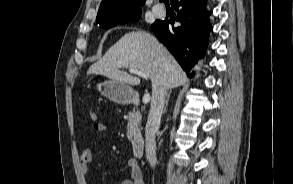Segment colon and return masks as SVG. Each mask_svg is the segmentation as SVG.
Masks as SVG:
<instances>
[{
    "instance_id": "colon-1",
    "label": "colon",
    "mask_w": 293,
    "mask_h": 184,
    "mask_svg": "<svg viewBox=\"0 0 293 184\" xmlns=\"http://www.w3.org/2000/svg\"><path fill=\"white\" fill-rule=\"evenodd\" d=\"M89 116H90V118H91L92 120H96V118H97L96 113H95L94 111H92V110L89 112Z\"/></svg>"
}]
</instances>
